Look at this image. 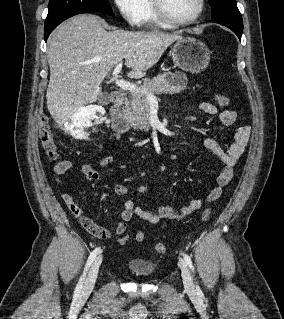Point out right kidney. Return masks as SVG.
<instances>
[{
	"instance_id": "right-kidney-1",
	"label": "right kidney",
	"mask_w": 284,
	"mask_h": 319,
	"mask_svg": "<svg viewBox=\"0 0 284 319\" xmlns=\"http://www.w3.org/2000/svg\"><path fill=\"white\" fill-rule=\"evenodd\" d=\"M97 112H103L95 106H85L80 108L71 116V121L66 125L65 129L76 139H86L87 134L84 128L89 126L90 119L95 116Z\"/></svg>"
}]
</instances>
